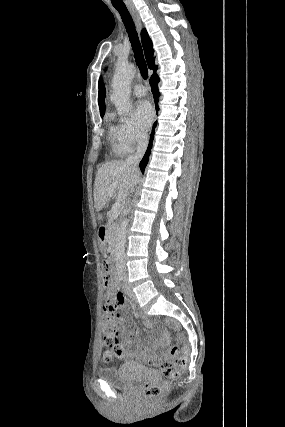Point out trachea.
<instances>
[{"instance_id": "1", "label": "trachea", "mask_w": 285, "mask_h": 427, "mask_svg": "<svg viewBox=\"0 0 285 427\" xmlns=\"http://www.w3.org/2000/svg\"><path fill=\"white\" fill-rule=\"evenodd\" d=\"M115 9L119 12L123 20V23L125 25V28L128 33V37L134 52V58L140 70L141 76L144 79H147L148 77L147 64L143 55L142 46L135 28L133 19L126 7H115Z\"/></svg>"}]
</instances>
